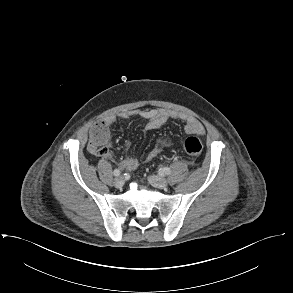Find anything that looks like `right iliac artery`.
I'll return each instance as SVG.
<instances>
[{
    "label": "right iliac artery",
    "instance_id": "1",
    "mask_svg": "<svg viewBox=\"0 0 293 293\" xmlns=\"http://www.w3.org/2000/svg\"><path fill=\"white\" fill-rule=\"evenodd\" d=\"M120 170L119 169H115L114 171H113V175L114 176H119L120 175Z\"/></svg>",
    "mask_w": 293,
    "mask_h": 293
}]
</instances>
